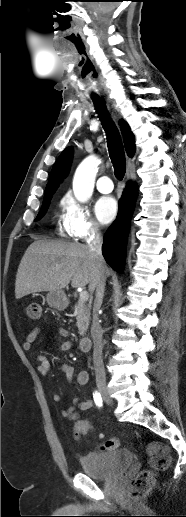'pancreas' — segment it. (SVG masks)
Returning <instances> with one entry per match:
<instances>
[{
	"instance_id": "cf45deb5",
	"label": "pancreas",
	"mask_w": 186,
	"mask_h": 517,
	"mask_svg": "<svg viewBox=\"0 0 186 517\" xmlns=\"http://www.w3.org/2000/svg\"><path fill=\"white\" fill-rule=\"evenodd\" d=\"M73 309L77 320L76 324L79 330V334L80 336H84L90 323V304L78 301Z\"/></svg>"
}]
</instances>
